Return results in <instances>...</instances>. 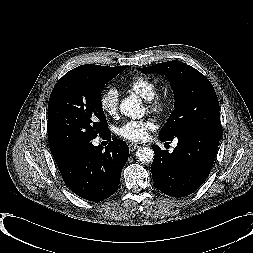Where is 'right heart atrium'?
Wrapping results in <instances>:
<instances>
[{
  "label": "right heart atrium",
  "instance_id": "1",
  "mask_svg": "<svg viewBox=\"0 0 253 253\" xmlns=\"http://www.w3.org/2000/svg\"><path fill=\"white\" fill-rule=\"evenodd\" d=\"M101 109L109 116H116L119 111V93L115 88H109L100 96Z\"/></svg>",
  "mask_w": 253,
  "mask_h": 253
}]
</instances>
